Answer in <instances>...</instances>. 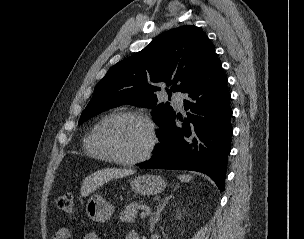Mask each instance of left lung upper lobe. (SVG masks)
<instances>
[{
    "label": "left lung upper lobe",
    "instance_id": "5c2ea615",
    "mask_svg": "<svg viewBox=\"0 0 304 239\" xmlns=\"http://www.w3.org/2000/svg\"><path fill=\"white\" fill-rule=\"evenodd\" d=\"M215 55L207 35L196 26H181L161 34L143 50L112 66L95 87L79 125L93 116L123 104L152 108L161 129L175 114L167 104H157L161 85L185 93L205 71ZM160 131V130H159Z\"/></svg>",
    "mask_w": 304,
    "mask_h": 239
}]
</instances>
